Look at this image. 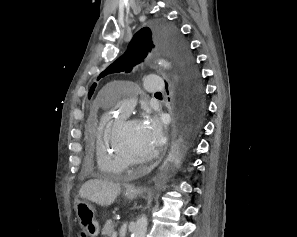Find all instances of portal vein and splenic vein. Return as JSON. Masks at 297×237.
<instances>
[{"label": "portal vein and splenic vein", "mask_w": 297, "mask_h": 237, "mask_svg": "<svg viewBox=\"0 0 297 237\" xmlns=\"http://www.w3.org/2000/svg\"><path fill=\"white\" fill-rule=\"evenodd\" d=\"M112 237H117V233L113 232Z\"/></svg>", "instance_id": "portal-vein-and-splenic-vein-1"}]
</instances>
